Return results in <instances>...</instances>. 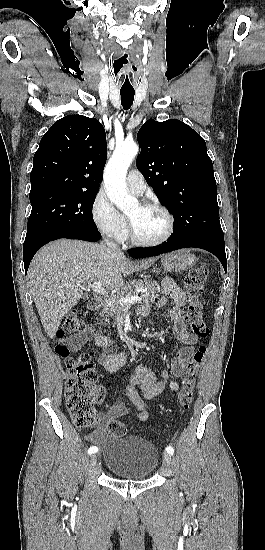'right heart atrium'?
Masks as SVG:
<instances>
[{
  "instance_id": "d8ad5b80",
  "label": "right heart atrium",
  "mask_w": 265,
  "mask_h": 550,
  "mask_svg": "<svg viewBox=\"0 0 265 550\" xmlns=\"http://www.w3.org/2000/svg\"><path fill=\"white\" fill-rule=\"evenodd\" d=\"M91 218L97 230L104 236L122 240L127 234V222L104 190H99L91 205Z\"/></svg>"
}]
</instances>
